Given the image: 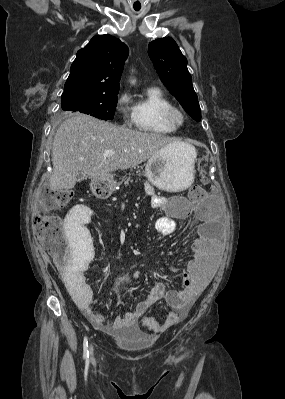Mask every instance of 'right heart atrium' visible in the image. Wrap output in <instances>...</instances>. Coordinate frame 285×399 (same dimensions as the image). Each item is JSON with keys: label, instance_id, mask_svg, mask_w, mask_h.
I'll return each instance as SVG.
<instances>
[{"label": "right heart atrium", "instance_id": "1", "mask_svg": "<svg viewBox=\"0 0 285 399\" xmlns=\"http://www.w3.org/2000/svg\"><path fill=\"white\" fill-rule=\"evenodd\" d=\"M131 96L127 92L121 93L116 100V108L121 114L124 123L130 124L134 120Z\"/></svg>", "mask_w": 285, "mask_h": 399}]
</instances>
